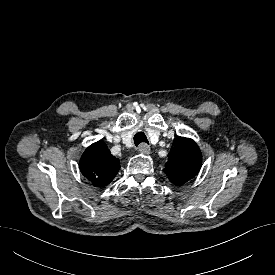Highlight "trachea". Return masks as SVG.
<instances>
[{
    "instance_id": "trachea-1",
    "label": "trachea",
    "mask_w": 275,
    "mask_h": 275,
    "mask_svg": "<svg viewBox=\"0 0 275 275\" xmlns=\"http://www.w3.org/2000/svg\"><path fill=\"white\" fill-rule=\"evenodd\" d=\"M148 143V140L146 138V135L143 132H139L135 134L134 136V144L135 146H138L140 143Z\"/></svg>"
}]
</instances>
